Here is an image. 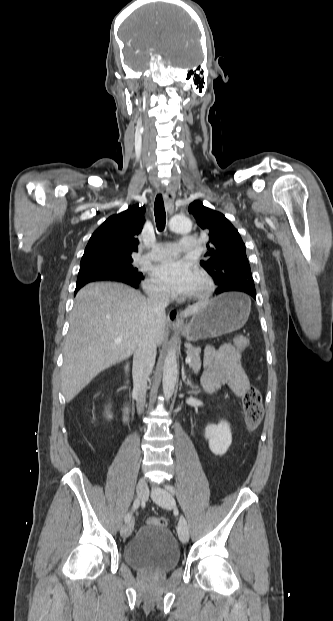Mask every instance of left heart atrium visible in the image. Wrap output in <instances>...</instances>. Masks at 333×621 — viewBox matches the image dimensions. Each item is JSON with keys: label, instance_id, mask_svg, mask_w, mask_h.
Returning a JSON list of instances; mask_svg holds the SVG:
<instances>
[{"label": "left heart atrium", "instance_id": "39dd6f15", "mask_svg": "<svg viewBox=\"0 0 333 621\" xmlns=\"http://www.w3.org/2000/svg\"><path fill=\"white\" fill-rule=\"evenodd\" d=\"M153 277L165 289L176 294H188L198 273L187 262L177 259L166 260L152 269Z\"/></svg>", "mask_w": 333, "mask_h": 621}]
</instances>
